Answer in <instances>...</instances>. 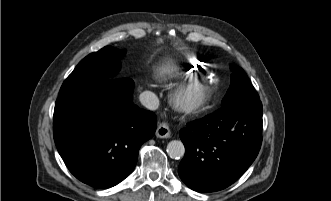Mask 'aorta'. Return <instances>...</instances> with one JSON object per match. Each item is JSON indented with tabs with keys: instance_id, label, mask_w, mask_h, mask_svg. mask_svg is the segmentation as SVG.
Segmentation results:
<instances>
[{
	"instance_id": "obj_1",
	"label": "aorta",
	"mask_w": 331,
	"mask_h": 201,
	"mask_svg": "<svg viewBox=\"0 0 331 201\" xmlns=\"http://www.w3.org/2000/svg\"><path fill=\"white\" fill-rule=\"evenodd\" d=\"M167 153L173 159H179L185 154V147L179 140H172L167 145Z\"/></svg>"
}]
</instances>
